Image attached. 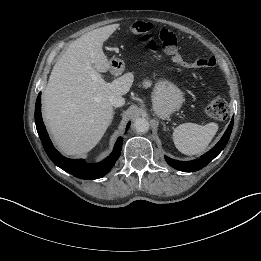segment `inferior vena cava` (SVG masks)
<instances>
[{
  "mask_svg": "<svg viewBox=\"0 0 261 261\" xmlns=\"http://www.w3.org/2000/svg\"><path fill=\"white\" fill-rule=\"evenodd\" d=\"M109 101L114 107H121L125 104V99L119 95L110 96Z\"/></svg>",
  "mask_w": 261,
  "mask_h": 261,
  "instance_id": "1",
  "label": "inferior vena cava"
}]
</instances>
